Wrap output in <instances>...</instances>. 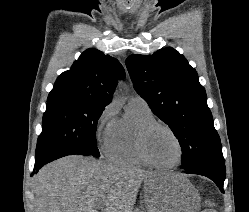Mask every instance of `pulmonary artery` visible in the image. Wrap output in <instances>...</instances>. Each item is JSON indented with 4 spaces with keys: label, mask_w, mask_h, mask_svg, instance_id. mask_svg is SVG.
Here are the masks:
<instances>
[{
    "label": "pulmonary artery",
    "mask_w": 249,
    "mask_h": 212,
    "mask_svg": "<svg viewBox=\"0 0 249 212\" xmlns=\"http://www.w3.org/2000/svg\"><path fill=\"white\" fill-rule=\"evenodd\" d=\"M130 102L140 103L142 105H147L146 101L139 95H135L130 99Z\"/></svg>",
    "instance_id": "e3ab8cb5"
}]
</instances>
